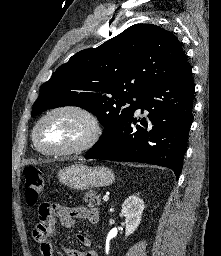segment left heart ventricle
Returning a JSON list of instances; mask_svg holds the SVG:
<instances>
[{"label":"left heart ventricle","mask_w":221,"mask_h":256,"mask_svg":"<svg viewBox=\"0 0 221 256\" xmlns=\"http://www.w3.org/2000/svg\"><path fill=\"white\" fill-rule=\"evenodd\" d=\"M89 125L79 114L60 112L46 119L38 132L42 146L60 149L80 143L88 134Z\"/></svg>","instance_id":"b2bd125f"}]
</instances>
